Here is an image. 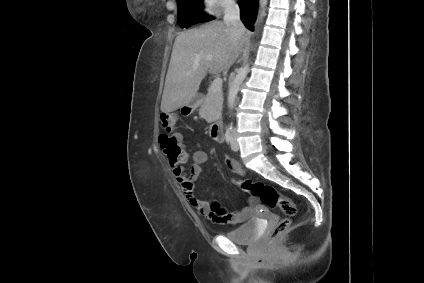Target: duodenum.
Returning <instances> with one entry per match:
<instances>
[{
    "label": "duodenum",
    "mask_w": 424,
    "mask_h": 283,
    "mask_svg": "<svg viewBox=\"0 0 424 283\" xmlns=\"http://www.w3.org/2000/svg\"><path fill=\"white\" fill-rule=\"evenodd\" d=\"M210 133L214 140L221 142L223 139V122L220 120L213 122Z\"/></svg>",
    "instance_id": "duodenum-1"
}]
</instances>
